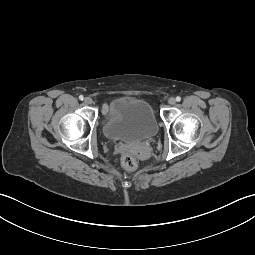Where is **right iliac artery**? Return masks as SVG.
<instances>
[{"label":"right iliac artery","instance_id":"1","mask_svg":"<svg viewBox=\"0 0 255 255\" xmlns=\"http://www.w3.org/2000/svg\"><path fill=\"white\" fill-rule=\"evenodd\" d=\"M79 99H80V100H83V99H84L83 95H80V96H79Z\"/></svg>","mask_w":255,"mask_h":255}]
</instances>
